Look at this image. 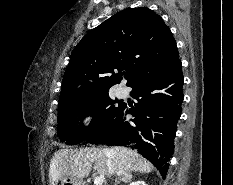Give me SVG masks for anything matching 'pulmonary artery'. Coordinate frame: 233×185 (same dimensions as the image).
Masks as SVG:
<instances>
[{
    "mask_svg": "<svg viewBox=\"0 0 233 185\" xmlns=\"http://www.w3.org/2000/svg\"><path fill=\"white\" fill-rule=\"evenodd\" d=\"M119 96H123L125 94V90L123 88L118 89Z\"/></svg>",
    "mask_w": 233,
    "mask_h": 185,
    "instance_id": "e3ab8cb5",
    "label": "pulmonary artery"
}]
</instances>
